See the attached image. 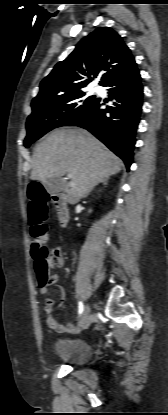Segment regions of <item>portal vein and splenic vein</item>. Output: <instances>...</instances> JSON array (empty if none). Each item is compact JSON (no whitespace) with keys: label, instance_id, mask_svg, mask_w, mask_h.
Here are the masks:
<instances>
[{"label":"portal vein and splenic vein","instance_id":"1","mask_svg":"<svg viewBox=\"0 0 168 415\" xmlns=\"http://www.w3.org/2000/svg\"><path fill=\"white\" fill-rule=\"evenodd\" d=\"M68 177H69V178H71V177H72V175H71V174H68ZM69 185H70V186H74V184H73V183H71V182H70V184H69Z\"/></svg>","mask_w":168,"mask_h":415}]
</instances>
